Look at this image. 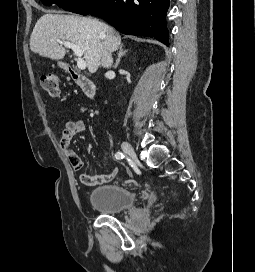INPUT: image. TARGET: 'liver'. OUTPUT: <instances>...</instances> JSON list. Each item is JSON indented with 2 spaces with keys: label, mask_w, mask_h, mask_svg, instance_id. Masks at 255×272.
<instances>
[{
  "label": "liver",
  "mask_w": 255,
  "mask_h": 272,
  "mask_svg": "<svg viewBox=\"0 0 255 272\" xmlns=\"http://www.w3.org/2000/svg\"><path fill=\"white\" fill-rule=\"evenodd\" d=\"M58 40L78 45L84 53L89 72L95 73L103 52L117 50L121 36L115 29L97 19L46 13L33 29L30 49L40 56L61 60L66 50Z\"/></svg>",
  "instance_id": "6515ba94"
}]
</instances>
